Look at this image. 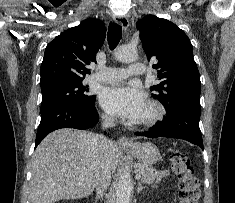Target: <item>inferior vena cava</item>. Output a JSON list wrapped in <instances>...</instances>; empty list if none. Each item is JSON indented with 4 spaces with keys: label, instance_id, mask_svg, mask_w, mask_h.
<instances>
[{
    "label": "inferior vena cava",
    "instance_id": "inferior-vena-cava-1",
    "mask_svg": "<svg viewBox=\"0 0 235 203\" xmlns=\"http://www.w3.org/2000/svg\"><path fill=\"white\" fill-rule=\"evenodd\" d=\"M114 117L112 116H103V124L102 127L107 129L109 127H113L115 125ZM96 139L101 147L103 152H106L108 149L109 141L103 135H97ZM111 181V172L106 162H102L100 172L97 179L96 184V191H97V198L103 196L105 191L107 190L108 186L110 185Z\"/></svg>",
    "mask_w": 235,
    "mask_h": 203
}]
</instances>
